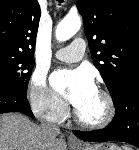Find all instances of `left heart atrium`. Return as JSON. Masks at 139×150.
I'll return each instance as SVG.
<instances>
[{"mask_svg": "<svg viewBox=\"0 0 139 150\" xmlns=\"http://www.w3.org/2000/svg\"><path fill=\"white\" fill-rule=\"evenodd\" d=\"M51 84L75 107L97 91L91 73L85 69L57 71L51 77Z\"/></svg>", "mask_w": 139, "mask_h": 150, "instance_id": "obj_1", "label": "left heart atrium"}]
</instances>
